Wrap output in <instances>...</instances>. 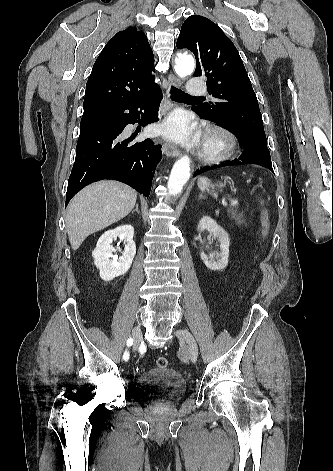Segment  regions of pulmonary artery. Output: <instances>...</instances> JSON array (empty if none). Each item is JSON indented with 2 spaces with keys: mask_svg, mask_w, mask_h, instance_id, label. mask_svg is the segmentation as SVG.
<instances>
[{
  "mask_svg": "<svg viewBox=\"0 0 333 471\" xmlns=\"http://www.w3.org/2000/svg\"><path fill=\"white\" fill-rule=\"evenodd\" d=\"M206 92L205 83L197 77H193L189 81L188 94L190 95H202Z\"/></svg>",
  "mask_w": 333,
  "mask_h": 471,
  "instance_id": "e3ab8cb5",
  "label": "pulmonary artery"
}]
</instances>
